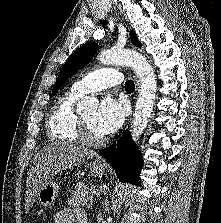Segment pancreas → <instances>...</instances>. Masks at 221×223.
I'll use <instances>...</instances> for the list:
<instances>
[{
	"label": "pancreas",
	"instance_id": "cf45deb5",
	"mask_svg": "<svg viewBox=\"0 0 221 223\" xmlns=\"http://www.w3.org/2000/svg\"><path fill=\"white\" fill-rule=\"evenodd\" d=\"M93 191H99L96 187L85 186L83 183H78L75 190L72 191L70 197L67 200V204L70 207L85 206L87 208L92 207V198L95 193Z\"/></svg>",
	"mask_w": 221,
	"mask_h": 223
}]
</instances>
